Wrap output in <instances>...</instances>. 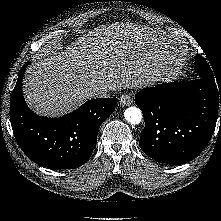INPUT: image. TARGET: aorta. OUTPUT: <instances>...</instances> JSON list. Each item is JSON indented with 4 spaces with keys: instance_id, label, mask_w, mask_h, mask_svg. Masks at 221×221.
I'll use <instances>...</instances> for the list:
<instances>
[{
    "instance_id": "aorta-1",
    "label": "aorta",
    "mask_w": 221,
    "mask_h": 221,
    "mask_svg": "<svg viewBox=\"0 0 221 221\" xmlns=\"http://www.w3.org/2000/svg\"><path fill=\"white\" fill-rule=\"evenodd\" d=\"M124 116L127 122L132 125H137L142 120V112L138 107H129L125 110Z\"/></svg>"
}]
</instances>
